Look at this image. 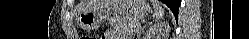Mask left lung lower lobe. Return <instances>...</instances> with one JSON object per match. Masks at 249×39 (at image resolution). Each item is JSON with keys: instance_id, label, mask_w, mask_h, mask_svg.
Wrapping results in <instances>:
<instances>
[{"instance_id": "1", "label": "left lung lower lobe", "mask_w": 249, "mask_h": 39, "mask_svg": "<svg viewBox=\"0 0 249 39\" xmlns=\"http://www.w3.org/2000/svg\"><path fill=\"white\" fill-rule=\"evenodd\" d=\"M163 1L174 13L176 19L178 17V8L181 4V0H161Z\"/></svg>"}]
</instances>
